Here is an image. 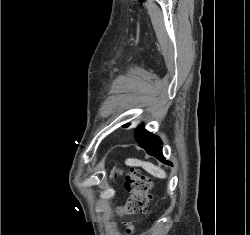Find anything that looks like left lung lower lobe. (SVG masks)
<instances>
[{
  "label": "left lung lower lobe",
  "mask_w": 250,
  "mask_h": 235,
  "mask_svg": "<svg viewBox=\"0 0 250 235\" xmlns=\"http://www.w3.org/2000/svg\"><path fill=\"white\" fill-rule=\"evenodd\" d=\"M136 137L140 143L139 146L145 149L148 154L155 156L163 163L172 165L170 162L165 160L162 154V142L158 136L151 134L149 131L144 129L143 125H140L136 130Z\"/></svg>",
  "instance_id": "0a47b994"
}]
</instances>
